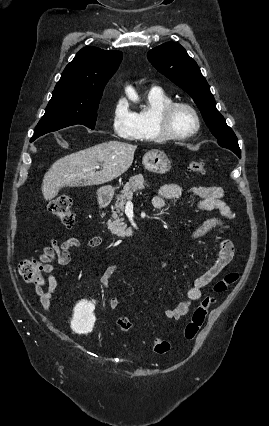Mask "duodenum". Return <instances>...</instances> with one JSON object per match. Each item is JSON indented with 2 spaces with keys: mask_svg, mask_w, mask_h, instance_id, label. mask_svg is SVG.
Instances as JSON below:
<instances>
[{
  "mask_svg": "<svg viewBox=\"0 0 269 426\" xmlns=\"http://www.w3.org/2000/svg\"><path fill=\"white\" fill-rule=\"evenodd\" d=\"M111 200V197L106 191H99L96 197V205L98 207L106 206Z\"/></svg>",
  "mask_w": 269,
  "mask_h": 426,
  "instance_id": "410a0bca",
  "label": "duodenum"
}]
</instances>
